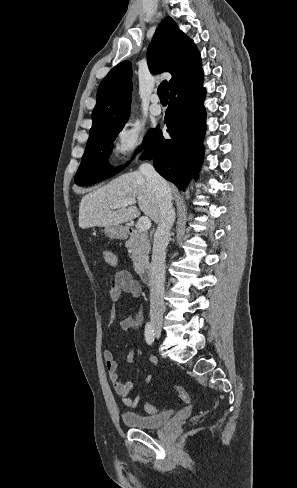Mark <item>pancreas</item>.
<instances>
[{
  "label": "pancreas",
  "mask_w": 297,
  "mask_h": 488,
  "mask_svg": "<svg viewBox=\"0 0 297 488\" xmlns=\"http://www.w3.org/2000/svg\"><path fill=\"white\" fill-rule=\"evenodd\" d=\"M126 246L132 252L133 266L136 272H141L149 264L150 241L147 233L136 230L133 232Z\"/></svg>",
  "instance_id": "1"
}]
</instances>
